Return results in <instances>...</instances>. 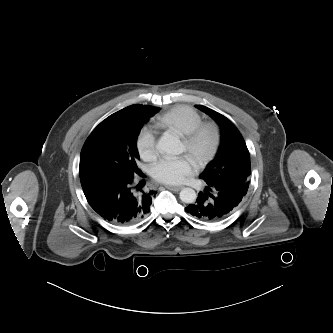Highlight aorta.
Listing matches in <instances>:
<instances>
[{"label": "aorta", "instance_id": "762f6f07", "mask_svg": "<svg viewBox=\"0 0 333 333\" xmlns=\"http://www.w3.org/2000/svg\"><path fill=\"white\" fill-rule=\"evenodd\" d=\"M156 147L161 153L166 154L179 155L183 152V145L176 136H162ZM179 196L181 201L187 204L196 201V192L192 188H183Z\"/></svg>", "mask_w": 333, "mask_h": 333}]
</instances>
